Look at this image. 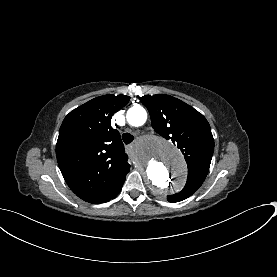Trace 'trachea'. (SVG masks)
<instances>
[{
    "mask_svg": "<svg viewBox=\"0 0 277 277\" xmlns=\"http://www.w3.org/2000/svg\"><path fill=\"white\" fill-rule=\"evenodd\" d=\"M122 140L127 145V144H130L134 140V136L130 133H124L122 135Z\"/></svg>",
    "mask_w": 277,
    "mask_h": 277,
    "instance_id": "3493384b",
    "label": "trachea"
}]
</instances>
